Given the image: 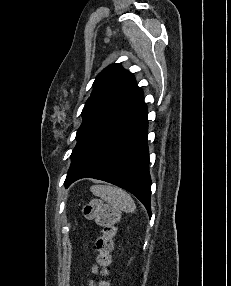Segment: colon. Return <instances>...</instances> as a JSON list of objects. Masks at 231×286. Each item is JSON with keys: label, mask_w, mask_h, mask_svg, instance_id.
I'll return each instance as SVG.
<instances>
[{"label": "colon", "mask_w": 231, "mask_h": 286, "mask_svg": "<svg viewBox=\"0 0 231 286\" xmlns=\"http://www.w3.org/2000/svg\"><path fill=\"white\" fill-rule=\"evenodd\" d=\"M83 213L87 219L102 227V234L96 241L97 261L101 266V279L98 286H110L107 276L109 275V265L111 263L113 238L116 234L120 213L116 207L100 199H94L87 203L83 208Z\"/></svg>", "instance_id": "1"}]
</instances>
